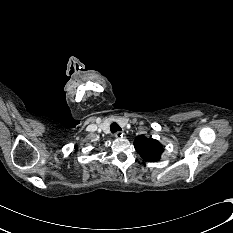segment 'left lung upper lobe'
Returning a JSON list of instances; mask_svg holds the SVG:
<instances>
[{"label": "left lung upper lobe", "instance_id": "left-lung-upper-lobe-1", "mask_svg": "<svg viewBox=\"0 0 233 233\" xmlns=\"http://www.w3.org/2000/svg\"><path fill=\"white\" fill-rule=\"evenodd\" d=\"M134 147L140 156L150 162H156L160 159L163 152V146L153 138H147L143 135L136 137Z\"/></svg>", "mask_w": 233, "mask_h": 233}]
</instances>
